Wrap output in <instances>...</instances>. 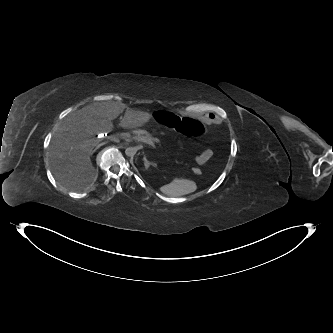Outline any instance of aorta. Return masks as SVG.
Wrapping results in <instances>:
<instances>
[{
	"label": "aorta",
	"mask_w": 333,
	"mask_h": 333,
	"mask_svg": "<svg viewBox=\"0 0 333 333\" xmlns=\"http://www.w3.org/2000/svg\"><path fill=\"white\" fill-rule=\"evenodd\" d=\"M137 152V149L135 147H127L125 149V154L129 157H133Z\"/></svg>",
	"instance_id": "762f6f07"
}]
</instances>
